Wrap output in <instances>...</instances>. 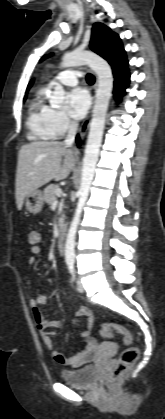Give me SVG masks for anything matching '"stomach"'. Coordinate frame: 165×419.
Returning a JSON list of instances; mask_svg holds the SVG:
<instances>
[{"label":"stomach","mask_w":165,"mask_h":419,"mask_svg":"<svg viewBox=\"0 0 165 419\" xmlns=\"http://www.w3.org/2000/svg\"><path fill=\"white\" fill-rule=\"evenodd\" d=\"M44 205V196L40 190H35L25 198V207L28 212L37 214L41 212Z\"/></svg>","instance_id":"stomach-1"}]
</instances>
